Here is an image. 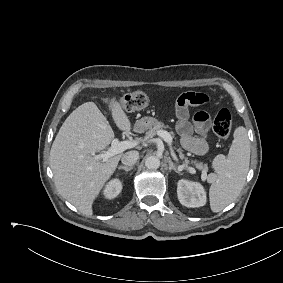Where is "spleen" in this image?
Wrapping results in <instances>:
<instances>
[{
    "label": "spleen",
    "instance_id": "1",
    "mask_svg": "<svg viewBox=\"0 0 283 283\" xmlns=\"http://www.w3.org/2000/svg\"><path fill=\"white\" fill-rule=\"evenodd\" d=\"M233 136L228 156L220 154L213 161L217 172L209 190L210 208L213 212L223 210L238 197L249 170L250 141L247 130L240 126Z\"/></svg>",
    "mask_w": 283,
    "mask_h": 283
}]
</instances>
